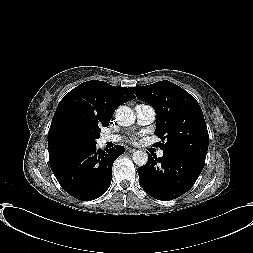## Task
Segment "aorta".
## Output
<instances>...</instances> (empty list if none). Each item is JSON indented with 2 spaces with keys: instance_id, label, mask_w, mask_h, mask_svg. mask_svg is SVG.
<instances>
[{
  "instance_id": "1",
  "label": "aorta",
  "mask_w": 253,
  "mask_h": 253,
  "mask_svg": "<svg viewBox=\"0 0 253 253\" xmlns=\"http://www.w3.org/2000/svg\"><path fill=\"white\" fill-rule=\"evenodd\" d=\"M115 118L120 126H130L135 122V114L128 106H119L115 112ZM134 163L138 166H143L148 161V154L145 151H135L132 157Z\"/></svg>"
}]
</instances>
